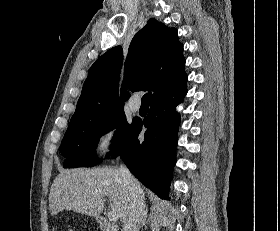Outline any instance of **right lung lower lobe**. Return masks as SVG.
<instances>
[{"label":"right lung lower lobe","instance_id":"98d812e1","mask_svg":"<svg viewBox=\"0 0 280 231\" xmlns=\"http://www.w3.org/2000/svg\"><path fill=\"white\" fill-rule=\"evenodd\" d=\"M186 85L152 100L149 114L143 120L147 128L144 141L137 139L142 124L132 123L120 144L124 162L138 180L167 199L171 171L175 163V149L180 116L176 106L183 101Z\"/></svg>","mask_w":280,"mask_h":231}]
</instances>
